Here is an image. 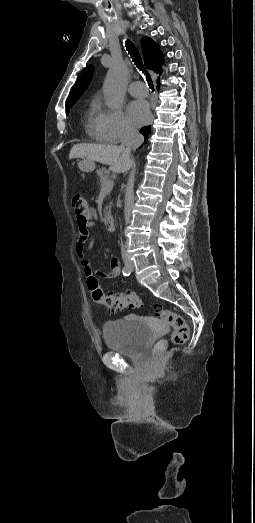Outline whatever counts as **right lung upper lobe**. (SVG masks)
<instances>
[{
    "label": "right lung upper lobe",
    "mask_w": 255,
    "mask_h": 523,
    "mask_svg": "<svg viewBox=\"0 0 255 523\" xmlns=\"http://www.w3.org/2000/svg\"><path fill=\"white\" fill-rule=\"evenodd\" d=\"M142 53L144 57L145 66L155 71L156 73L161 74V65H157L158 62H163L164 55L160 52L159 45L156 44L151 38L143 37L141 39ZM94 72V67L88 65L78 77L75 85L73 86L71 93L68 97V102L77 101L82 93L89 86L92 75ZM159 83V82H158ZM151 132V126H145L141 128L140 133L144 136L145 142H147L148 136Z\"/></svg>",
    "instance_id": "cb5924a9"
}]
</instances>
